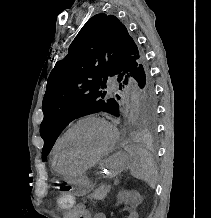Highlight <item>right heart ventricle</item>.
Segmentation results:
<instances>
[{"mask_svg":"<svg viewBox=\"0 0 211 218\" xmlns=\"http://www.w3.org/2000/svg\"><path fill=\"white\" fill-rule=\"evenodd\" d=\"M55 159V158H54ZM50 164L51 165H58L59 164V161L58 160H51L50 161Z\"/></svg>","mask_w":211,"mask_h":218,"instance_id":"1","label":"right heart ventricle"}]
</instances>
